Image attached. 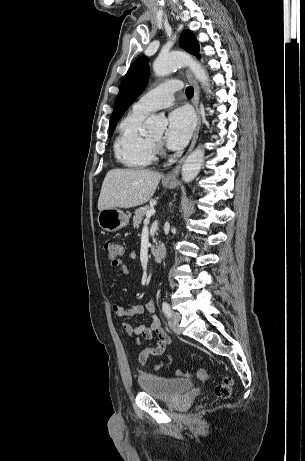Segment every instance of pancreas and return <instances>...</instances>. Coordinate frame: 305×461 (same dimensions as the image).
<instances>
[{
	"label": "pancreas",
	"mask_w": 305,
	"mask_h": 461,
	"mask_svg": "<svg viewBox=\"0 0 305 461\" xmlns=\"http://www.w3.org/2000/svg\"><path fill=\"white\" fill-rule=\"evenodd\" d=\"M151 206L149 205H146V206H143V207H140L138 208L135 213H134V216H133V226L134 228H139L142 220H143V217L147 214V212L149 210H151Z\"/></svg>",
	"instance_id": "cf45deb5"
}]
</instances>
